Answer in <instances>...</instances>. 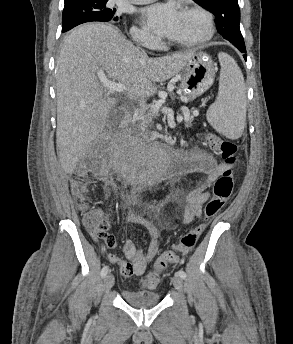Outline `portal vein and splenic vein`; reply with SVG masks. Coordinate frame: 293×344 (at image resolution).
<instances>
[{"label": "portal vein and splenic vein", "mask_w": 293, "mask_h": 344, "mask_svg": "<svg viewBox=\"0 0 293 344\" xmlns=\"http://www.w3.org/2000/svg\"><path fill=\"white\" fill-rule=\"evenodd\" d=\"M102 73H99V76L101 75ZM101 83L103 85V87L109 92V93H117V92H124L126 91V86L123 85V84H120V83H116V82H112V81H109L107 80L106 78L105 79H101ZM140 105L142 107H146V104L143 100H141L140 102ZM156 112H158V109L155 110ZM198 115L197 111L193 112V116H196ZM190 117L188 118H185V120H189ZM182 118H178V121H181Z\"/></svg>", "instance_id": "18ae733b"}]
</instances>
